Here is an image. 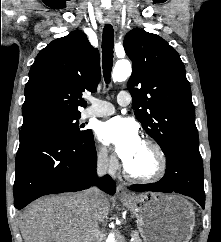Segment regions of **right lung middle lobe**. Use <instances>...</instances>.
I'll return each instance as SVG.
<instances>
[{"mask_svg":"<svg viewBox=\"0 0 221 242\" xmlns=\"http://www.w3.org/2000/svg\"><path fill=\"white\" fill-rule=\"evenodd\" d=\"M79 117L80 114H76L68 117L42 120L22 126L21 131L29 129H51L63 133L69 137H83L86 134L90 133L91 130L80 129L82 126H79V123L76 121V119H78Z\"/></svg>","mask_w":221,"mask_h":242,"instance_id":"obj_1","label":"right lung middle lobe"}]
</instances>
